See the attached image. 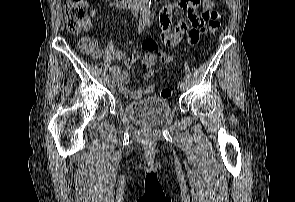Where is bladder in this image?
<instances>
[{"label":"bladder","mask_w":295,"mask_h":202,"mask_svg":"<svg viewBox=\"0 0 295 202\" xmlns=\"http://www.w3.org/2000/svg\"><path fill=\"white\" fill-rule=\"evenodd\" d=\"M125 116L142 125H159L164 123L171 114V107L165 98L158 95L149 96L124 107Z\"/></svg>","instance_id":"obj_1"}]
</instances>
